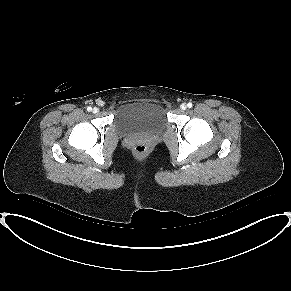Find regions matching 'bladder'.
<instances>
[{
	"instance_id": "1",
	"label": "bladder",
	"mask_w": 291,
	"mask_h": 291,
	"mask_svg": "<svg viewBox=\"0 0 291 291\" xmlns=\"http://www.w3.org/2000/svg\"><path fill=\"white\" fill-rule=\"evenodd\" d=\"M166 110L159 102L134 101L121 105L114 119L120 134L157 132L167 125Z\"/></svg>"
}]
</instances>
